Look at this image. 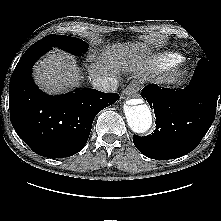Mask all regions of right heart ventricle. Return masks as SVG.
I'll list each match as a JSON object with an SVG mask.
<instances>
[{
  "mask_svg": "<svg viewBox=\"0 0 221 221\" xmlns=\"http://www.w3.org/2000/svg\"><path fill=\"white\" fill-rule=\"evenodd\" d=\"M183 57L178 53L167 52L153 57L152 63L159 70H168L182 63Z\"/></svg>",
  "mask_w": 221,
  "mask_h": 221,
  "instance_id": "1",
  "label": "right heart ventricle"
}]
</instances>
